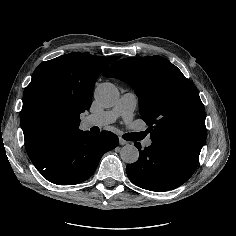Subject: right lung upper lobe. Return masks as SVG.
I'll list each match as a JSON object with an SVG mask.
<instances>
[{
  "instance_id": "obj_1",
  "label": "right lung upper lobe",
  "mask_w": 236,
  "mask_h": 236,
  "mask_svg": "<svg viewBox=\"0 0 236 236\" xmlns=\"http://www.w3.org/2000/svg\"><path fill=\"white\" fill-rule=\"evenodd\" d=\"M118 58L70 53L36 68L25 88L21 111L25 148L36 168L57 146L82 131L80 114L91 106L95 81ZM40 103L53 104L61 112L62 124L55 132H42L33 125L32 111Z\"/></svg>"
}]
</instances>
